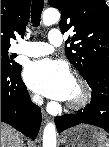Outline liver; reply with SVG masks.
<instances>
[{"label": "liver", "mask_w": 109, "mask_h": 147, "mask_svg": "<svg viewBox=\"0 0 109 147\" xmlns=\"http://www.w3.org/2000/svg\"><path fill=\"white\" fill-rule=\"evenodd\" d=\"M1 147H23V136L8 124H1Z\"/></svg>", "instance_id": "obj_1"}]
</instances>
